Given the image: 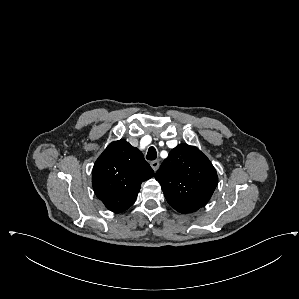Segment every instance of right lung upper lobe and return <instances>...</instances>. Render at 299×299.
Returning <instances> with one entry per match:
<instances>
[{"label": "right lung upper lobe", "mask_w": 299, "mask_h": 299, "mask_svg": "<svg viewBox=\"0 0 299 299\" xmlns=\"http://www.w3.org/2000/svg\"><path fill=\"white\" fill-rule=\"evenodd\" d=\"M154 176L143 154L124 140L112 142L96 160L92 185L97 197L115 213L135 202L141 183Z\"/></svg>", "instance_id": "right-lung-upper-lobe-1"}]
</instances>
